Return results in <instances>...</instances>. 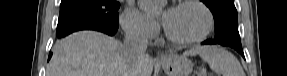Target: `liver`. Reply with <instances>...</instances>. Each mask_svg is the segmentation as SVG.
Returning <instances> with one entry per match:
<instances>
[{
  "label": "liver",
  "instance_id": "obj_1",
  "mask_svg": "<svg viewBox=\"0 0 287 76\" xmlns=\"http://www.w3.org/2000/svg\"><path fill=\"white\" fill-rule=\"evenodd\" d=\"M154 60L146 55L129 64L122 44L95 31H79L62 39L54 48L47 76H151Z\"/></svg>",
  "mask_w": 287,
  "mask_h": 76
}]
</instances>
